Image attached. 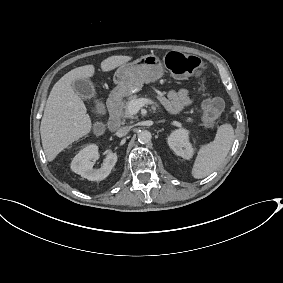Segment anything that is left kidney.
<instances>
[{"label":"left kidney","mask_w":283,"mask_h":283,"mask_svg":"<svg viewBox=\"0 0 283 283\" xmlns=\"http://www.w3.org/2000/svg\"><path fill=\"white\" fill-rule=\"evenodd\" d=\"M170 148L179 156L189 159L192 156L193 150L187 142V132L183 129L174 131L168 137Z\"/></svg>","instance_id":"left-kidney-1"}]
</instances>
